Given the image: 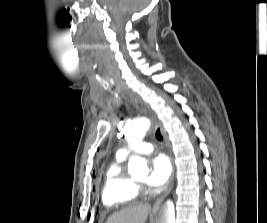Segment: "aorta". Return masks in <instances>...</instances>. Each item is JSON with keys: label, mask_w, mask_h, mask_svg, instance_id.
Wrapping results in <instances>:
<instances>
[{"label": "aorta", "mask_w": 267, "mask_h": 223, "mask_svg": "<svg viewBox=\"0 0 267 223\" xmlns=\"http://www.w3.org/2000/svg\"><path fill=\"white\" fill-rule=\"evenodd\" d=\"M149 125L150 123L147 119L132 121L126 124L124 134L131 147L140 145ZM128 170L133 176L146 174L149 171L146 161L140 157H133L129 160ZM157 223H175V207L171 200H167L162 204Z\"/></svg>", "instance_id": "obj_1"}]
</instances>
